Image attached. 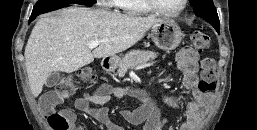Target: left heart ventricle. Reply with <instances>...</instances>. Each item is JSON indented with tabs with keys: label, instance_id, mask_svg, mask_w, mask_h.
Returning <instances> with one entry per match:
<instances>
[{
	"label": "left heart ventricle",
	"instance_id": "1",
	"mask_svg": "<svg viewBox=\"0 0 257 130\" xmlns=\"http://www.w3.org/2000/svg\"><path fill=\"white\" fill-rule=\"evenodd\" d=\"M157 5L166 11H176L183 3V0H155Z\"/></svg>",
	"mask_w": 257,
	"mask_h": 130
}]
</instances>
